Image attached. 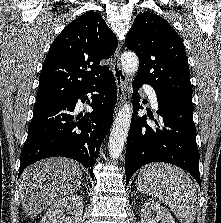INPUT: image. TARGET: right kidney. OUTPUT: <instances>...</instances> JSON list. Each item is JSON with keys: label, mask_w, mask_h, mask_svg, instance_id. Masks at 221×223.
<instances>
[{"label": "right kidney", "mask_w": 221, "mask_h": 223, "mask_svg": "<svg viewBox=\"0 0 221 223\" xmlns=\"http://www.w3.org/2000/svg\"><path fill=\"white\" fill-rule=\"evenodd\" d=\"M71 214L65 216L64 209ZM83 199L80 195H69L56 201L44 214L41 223H81Z\"/></svg>", "instance_id": "1"}]
</instances>
